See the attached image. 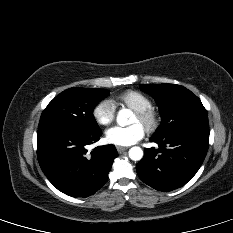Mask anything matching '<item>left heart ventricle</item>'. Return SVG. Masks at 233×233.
Wrapping results in <instances>:
<instances>
[{"instance_id": "1", "label": "left heart ventricle", "mask_w": 233, "mask_h": 233, "mask_svg": "<svg viewBox=\"0 0 233 233\" xmlns=\"http://www.w3.org/2000/svg\"><path fill=\"white\" fill-rule=\"evenodd\" d=\"M131 123H132V124H135V123H139V124H141V123H140V121H139V119L137 118V116H136V115L133 117V119H132ZM141 125H142V124H141ZM142 126H143V125H142Z\"/></svg>"}]
</instances>
